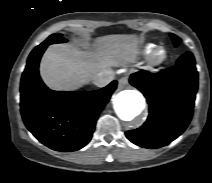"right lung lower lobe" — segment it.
I'll return each instance as SVG.
<instances>
[{"label": "right lung lower lobe", "mask_w": 212, "mask_h": 183, "mask_svg": "<svg viewBox=\"0 0 212 183\" xmlns=\"http://www.w3.org/2000/svg\"><path fill=\"white\" fill-rule=\"evenodd\" d=\"M48 45L40 44L28 57L20 86L22 118L28 130L47 147L61 152L76 151L90 141L98 116L117 82L89 92L50 90L38 72Z\"/></svg>", "instance_id": "98d812e1"}]
</instances>
